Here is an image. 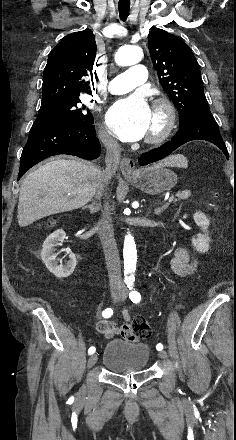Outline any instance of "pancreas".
<instances>
[{"instance_id": "obj_1", "label": "pancreas", "mask_w": 236, "mask_h": 440, "mask_svg": "<svg viewBox=\"0 0 236 440\" xmlns=\"http://www.w3.org/2000/svg\"><path fill=\"white\" fill-rule=\"evenodd\" d=\"M190 195H191V192L188 191V190H185V191H182V192H178V193L176 194V196L178 197L177 200H185V199H188V198L190 197ZM177 200H175V201H177Z\"/></svg>"}]
</instances>
